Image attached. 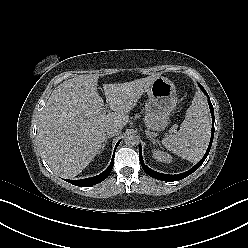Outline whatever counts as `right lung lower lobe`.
Wrapping results in <instances>:
<instances>
[{
    "label": "right lung lower lobe",
    "mask_w": 248,
    "mask_h": 248,
    "mask_svg": "<svg viewBox=\"0 0 248 248\" xmlns=\"http://www.w3.org/2000/svg\"><path fill=\"white\" fill-rule=\"evenodd\" d=\"M119 143H120V141H118V143L115 146L113 158L111 160L110 165L103 173H101L95 177H91V178L80 179V180H66V181L70 182L73 185L79 186V187H89V186L98 184V183L102 182L103 180H105L109 176L110 172L112 171L113 164H114V155H115V151H116Z\"/></svg>",
    "instance_id": "obj_1"
}]
</instances>
